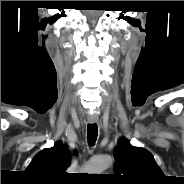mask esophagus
<instances>
[{
	"instance_id": "1",
	"label": "esophagus",
	"mask_w": 184,
	"mask_h": 184,
	"mask_svg": "<svg viewBox=\"0 0 184 184\" xmlns=\"http://www.w3.org/2000/svg\"><path fill=\"white\" fill-rule=\"evenodd\" d=\"M88 122L93 124V123H97L98 122V117L96 116H89L88 117Z\"/></svg>"
}]
</instances>
